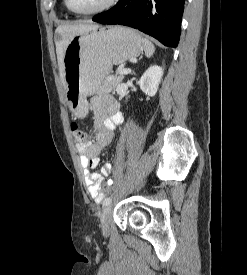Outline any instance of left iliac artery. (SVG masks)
Masks as SVG:
<instances>
[{
    "label": "left iliac artery",
    "instance_id": "obj_1",
    "mask_svg": "<svg viewBox=\"0 0 247 275\" xmlns=\"http://www.w3.org/2000/svg\"><path fill=\"white\" fill-rule=\"evenodd\" d=\"M111 202H112V198L111 197H107L103 201V205H105V206L110 205Z\"/></svg>",
    "mask_w": 247,
    "mask_h": 275
}]
</instances>
